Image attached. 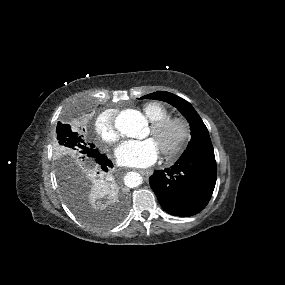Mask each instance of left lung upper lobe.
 I'll use <instances>...</instances> for the list:
<instances>
[{
  "label": "left lung upper lobe",
  "mask_w": 285,
  "mask_h": 285,
  "mask_svg": "<svg viewBox=\"0 0 285 285\" xmlns=\"http://www.w3.org/2000/svg\"><path fill=\"white\" fill-rule=\"evenodd\" d=\"M141 99H156L168 102L176 107L188 120L192 138L184 154L191 152L194 149L212 147L211 139L205 124L189 102L165 91L151 93L141 97Z\"/></svg>",
  "instance_id": "5c2ea615"
}]
</instances>
